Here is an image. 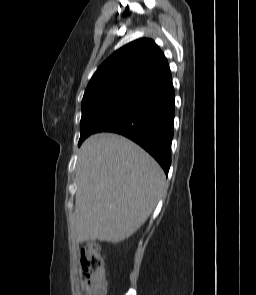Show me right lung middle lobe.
Here are the masks:
<instances>
[{"instance_id": "right-lung-middle-lobe-1", "label": "right lung middle lobe", "mask_w": 256, "mask_h": 295, "mask_svg": "<svg viewBox=\"0 0 256 295\" xmlns=\"http://www.w3.org/2000/svg\"><path fill=\"white\" fill-rule=\"evenodd\" d=\"M137 94L114 96L90 106L82 107L80 143L97 132L108 120L122 111Z\"/></svg>"}]
</instances>
